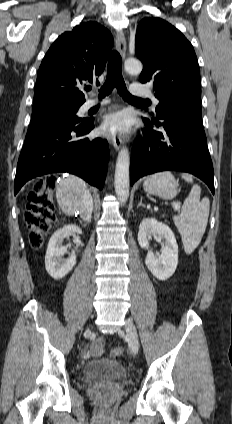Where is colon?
I'll use <instances>...</instances> for the list:
<instances>
[{
  "mask_svg": "<svg viewBox=\"0 0 232 424\" xmlns=\"http://www.w3.org/2000/svg\"><path fill=\"white\" fill-rule=\"evenodd\" d=\"M54 197L50 187L36 183L28 195L25 221L29 228L30 245L34 249L42 246L44 236L52 229L55 220ZM123 343H118L111 351V356H118L123 351Z\"/></svg>",
  "mask_w": 232,
  "mask_h": 424,
  "instance_id": "1",
  "label": "colon"
}]
</instances>
